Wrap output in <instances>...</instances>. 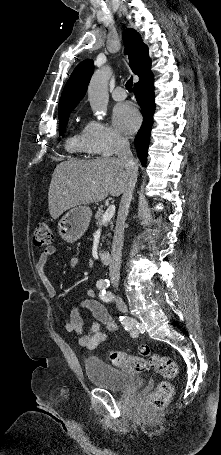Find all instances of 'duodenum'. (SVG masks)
<instances>
[{"mask_svg": "<svg viewBox=\"0 0 221 455\" xmlns=\"http://www.w3.org/2000/svg\"><path fill=\"white\" fill-rule=\"evenodd\" d=\"M100 259L104 264H110L112 261V254L109 250H102L100 252Z\"/></svg>", "mask_w": 221, "mask_h": 455, "instance_id": "1", "label": "duodenum"}]
</instances>
